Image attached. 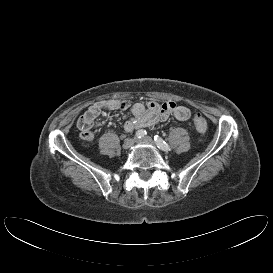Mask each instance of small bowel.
<instances>
[{"mask_svg": "<svg viewBox=\"0 0 273 273\" xmlns=\"http://www.w3.org/2000/svg\"><path fill=\"white\" fill-rule=\"evenodd\" d=\"M127 109L131 112V118L124 123V129L127 132L143 127H151L171 116L179 121H186L191 116L187 107L172 101L163 103L151 101L147 104L124 99L100 101L91 105L77 121L81 140L90 142L94 139L93 129L97 126L96 119L102 112Z\"/></svg>", "mask_w": 273, "mask_h": 273, "instance_id": "small-bowel-1", "label": "small bowel"}]
</instances>
